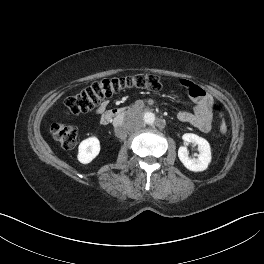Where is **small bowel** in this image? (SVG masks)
Masks as SVG:
<instances>
[{
	"label": "small bowel",
	"mask_w": 264,
	"mask_h": 264,
	"mask_svg": "<svg viewBox=\"0 0 264 264\" xmlns=\"http://www.w3.org/2000/svg\"><path fill=\"white\" fill-rule=\"evenodd\" d=\"M180 83L187 89L189 97L194 103V110L193 112L180 111L177 114V119L180 122L187 123L202 132L210 131L213 123L212 97L201 87L189 80L181 79ZM108 104L109 102L107 100L103 101L96 109V113L100 114L104 112Z\"/></svg>",
	"instance_id": "obj_1"
}]
</instances>
